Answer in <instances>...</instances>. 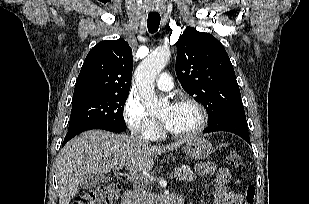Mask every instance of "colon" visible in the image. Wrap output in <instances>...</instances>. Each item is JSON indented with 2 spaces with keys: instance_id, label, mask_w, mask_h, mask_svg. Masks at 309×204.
<instances>
[{
  "instance_id": "obj_1",
  "label": "colon",
  "mask_w": 309,
  "mask_h": 204,
  "mask_svg": "<svg viewBox=\"0 0 309 204\" xmlns=\"http://www.w3.org/2000/svg\"><path fill=\"white\" fill-rule=\"evenodd\" d=\"M226 161L233 168L241 169L243 167V159L234 148L227 151ZM119 192L120 185L118 183L101 184L77 197L73 204H108L111 200L117 198ZM255 192L253 185L246 187L245 204H254Z\"/></svg>"
}]
</instances>
